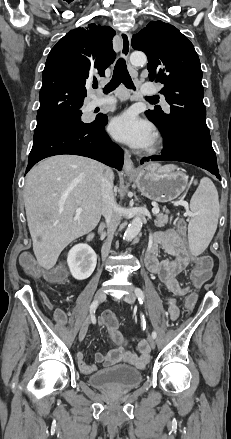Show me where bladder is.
Wrapping results in <instances>:
<instances>
[{
    "instance_id": "1",
    "label": "bladder",
    "mask_w": 231,
    "mask_h": 439,
    "mask_svg": "<svg viewBox=\"0 0 231 439\" xmlns=\"http://www.w3.org/2000/svg\"><path fill=\"white\" fill-rule=\"evenodd\" d=\"M142 380L141 371L125 365L100 370L87 378L88 383L93 387L115 391L134 389Z\"/></svg>"
}]
</instances>
